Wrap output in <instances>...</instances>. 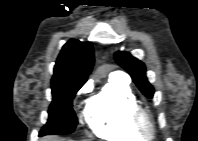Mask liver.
I'll use <instances>...</instances> for the list:
<instances>
[{
	"instance_id": "liver-1",
	"label": "liver",
	"mask_w": 198,
	"mask_h": 141,
	"mask_svg": "<svg viewBox=\"0 0 198 141\" xmlns=\"http://www.w3.org/2000/svg\"><path fill=\"white\" fill-rule=\"evenodd\" d=\"M49 141H60L57 137H49L47 138Z\"/></svg>"
}]
</instances>
